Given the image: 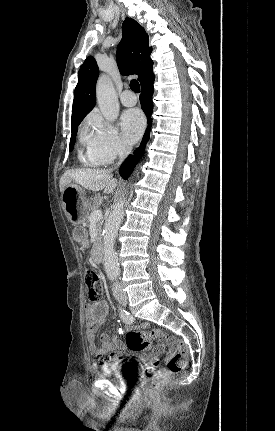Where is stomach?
Returning <instances> with one entry per match:
<instances>
[{
	"label": "stomach",
	"instance_id": "0dacf381",
	"mask_svg": "<svg viewBox=\"0 0 275 431\" xmlns=\"http://www.w3.org/2000/svg\"><path fill=\"white\" fill-rule=\"evenodd\" d=\"M62 203L68 220L74 225L82 224L87 218L91 201L84 189L77 184H69L62 192Z\"/></svg>",
	"mask_w": 275,
	"mask_h": 431
}]
</instances>
